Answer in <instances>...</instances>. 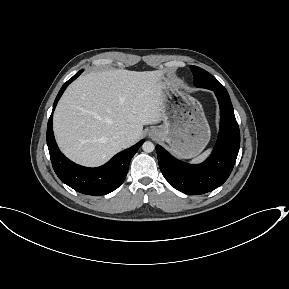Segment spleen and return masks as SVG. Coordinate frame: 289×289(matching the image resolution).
<instances>
[{"instance_id":"1","label":"spleen","mask_w":289,"mask_h":289,"mask_svg":"<svg viewBox=\"0 0 289 289\" xmlns=\"http://www.w3.org/2000/svg\"><path fill=\"white\" fill-rule=\"evenodd\" d=\"M209 152H210V150L205 151L203 154H201L200 156L193 159L192 163L202 162L208 156Z\"/></svg>"}]
</instances>
